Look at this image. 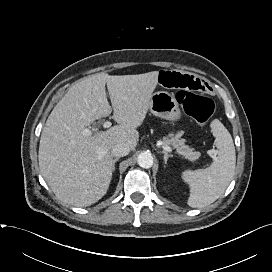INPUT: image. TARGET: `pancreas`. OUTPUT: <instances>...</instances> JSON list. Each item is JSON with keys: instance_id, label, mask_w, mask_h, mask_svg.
<instances>
[{"instance_id": "obj_1", "label": "pancreas", "mask_w": 272, "mask_h": 272, "mask_svg": "<svg viewBox=\"0 0 272 272\" xmlns=\"http://www.w3.org/2000/svg\"><path fill=\"white\" fill-rule=\"evenodd\" d=\"M181 135V133H178L175 136L171 134V138H166L163 141V146H172L176 149L179 155H182L185 159H188L189 161L193 162L198 160L201 156V153L185 145V139H180Z\"/></svg>"}]
</instances>
